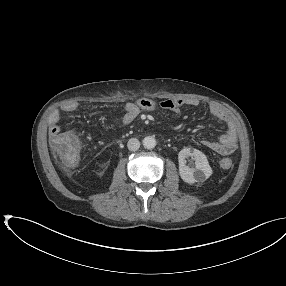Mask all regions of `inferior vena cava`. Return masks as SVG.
I'll use <instances>...</instances> for the list:
<instances>
[{
    "mask_svg": "<svg viewBox=\"0 0 286 286\" xmlns=\"http://www.w3.org/2000/svg\"><path fill=\"white\" fill-rule=\"evenodd\" d=\"M127 147L130 151H137L140 147V142L136 138H131L127 143Z\"/></svg>",
    "mask_w": 286,
    "mask_h": 286,
    "instance_id": "inferior-vena-cava-1",
    "label": "inferior vena cava"
}]
</instances>
